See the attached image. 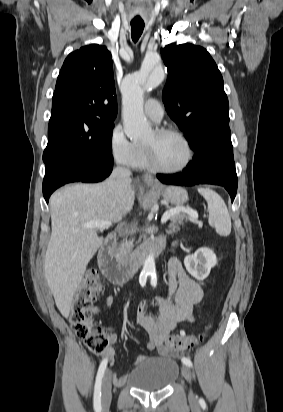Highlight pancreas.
Segmentation results:
<instances>
[{"label":"pancreas","instance_id":"pancreas-1","mask_svg":"<svg viewBox=\"0 0 283 412\" xmlns=\"http://www.w3.org/2000/svg\"><path fill=\"white\" fill-rule=\"evenodd\" d=\"M184 220L199 224L197 219L193 218L190 215L179 212L171 217L172 223L169 226L170 230L168 232L174 233L178 231L180 229L179 226L183 225ZM132 249H133V240L125 241L121 243L120 247L118 248V256L122 259H125L130 255Z\"/></svg>","mask_w":283,"mask_h":412}]
</instances>
